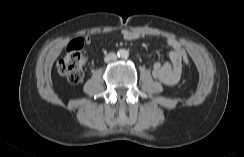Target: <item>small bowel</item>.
Here are the masks:
<instances>
[{
    "mask_svg": "<svg viewBox=\"0 0 244 157\" xmlns=\"http://www.w3.org/2000/svg\"><path fill=\"white\" fill-rule=\"evenodd\" d=\"M144 35L138 32L123 30L122 37L125 40L134 41L142 38ZM86 44L92 42L91 36H86ZM170 47L169 61L166 63L154 62L152 65V75L159 82L165 85H175L179 82L182 74V57L185 54L180 43L174 38L166 39Z\"/></svg>",
    "mask_w": 244,
    "mask_h": 157,
    "instance_id": "c3829d8e",
    "label": "small bowel"
}]
</instances>
